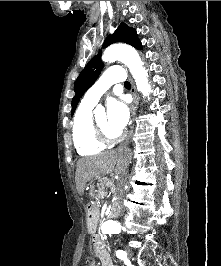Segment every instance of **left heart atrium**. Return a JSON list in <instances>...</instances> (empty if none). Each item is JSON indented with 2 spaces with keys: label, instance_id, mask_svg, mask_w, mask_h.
<instances>
[{
  "label": "left heart atrium",
  "instance_id": "39dd6f15",
  "mask_svg": "<svg viewBox=\"0 0 221 266\" xmlns=\"http://www.w3.org/2000/svg\"><path fill=\"white\" fill-rule=\"evenodd\" d=\"M107 118L109 125L116 131H121L127 124L129 112L120 99H111L107 103Z\"/></svg>",
  "mask_w": 221,
  "mask_h": 266
}]
</instances>
